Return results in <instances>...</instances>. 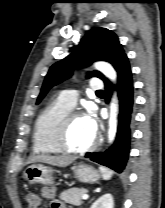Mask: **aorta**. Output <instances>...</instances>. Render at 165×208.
Returning <instances> with one entry per match:
<instances>
[{
  "mask_svg": "<svg viewBox=\"0 0 165 208\" xmlns=\"http://www.w3.org/2000/svg\"><path fill=\"white\" fill-rule=\"evenodd\" d=\"M95 68L101 71L106 77L115 81L116 80V72L114 68L106 63V62H97L95 64ZM117 111L118 105L117 100L113 99L110 105V119H109V130H108V139L109 142H112L115 138L117 131Z\"/></svg>",
  "mask_w": 165,
  "mask_h": 208,
  "instance_id": "obj_1",
  "label": "aorta"
}]
</instances>
